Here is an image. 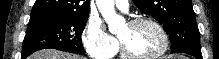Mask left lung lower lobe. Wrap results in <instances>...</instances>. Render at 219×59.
<instances>
[{"mask_svg": "<svg viewBox=\"0 0 219 59\" xmlns=\"http://www.w3.org/2000/svg\"><path fill=\"white\" fill-rule=\"evenodd\" d=\"M172 53H186L197 59H203L200 47H185Z\"/></svg>", "mask_w": 219, "mask_h": 59, "instance_id": "0a47b994", "label": "left lung lower lobe"}]
</instances>
